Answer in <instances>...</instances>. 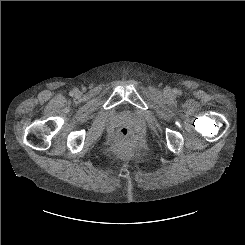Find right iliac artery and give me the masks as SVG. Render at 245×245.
Wrapping results in <instances>:
<instances>
[{
  "label": "right iliac artery",
  "mask_w": 245,
  "mask_h": 245,
  "mask_svg": "<svg viewBox=\"0 0 245 245\" xmlns=\"http://www.w3.org/2000/svg\"><path fill=\"white\" fill-rule=\"evenodd\" d=\"M73 94H74V92L72 91V92H71V95H73Z\"/></svg>",
  "instance_id": "1"
}]
</instances>
